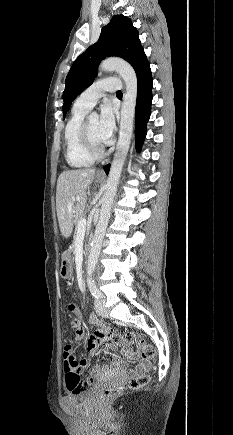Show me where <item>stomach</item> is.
Wrapping results in <instances>:
<instances>
[{
  "label": "stomach",
  "instance_id": "stomach-1",
  "mask_svg": "<svg viewBox=\"0 0 233 435\" xmlns=\"http://www.w3.org/2000/svg\"><path fill=\"white\" fill-rule=\"evenodd\" d=\"M97 181L100 182L101 179L97 178ZM73 274L72 268V260L69 254H64L62 256L61 268H60V276L63 279H70Z\"/></svg>",
  "mask_w": 233,
  "mask_h": 435
}]
</instances>
